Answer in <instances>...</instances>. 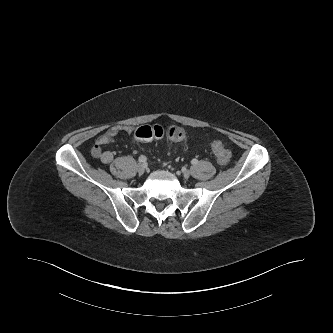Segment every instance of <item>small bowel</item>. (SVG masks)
Instances as JSON below:
<instances>
[{"mask_svg": "<svg viewBox=\"0 0 333 333\" xmlns=\"http://www.w3.org/2000/svg\"><path fill=\"white\" fill-rule=\"evenodd\" d=\"M121 132L131 135L134 133V128L131 126H114L108 129L96 139L91 149L92 157L106 164L112 162L115 156L114 152L104 149L103 146L111 143Z\"/></svg>", "mask_w": 333, "mask_h": 333, "instance_id": "c3829d8e", "label": "small bowel"}]
</instances>
